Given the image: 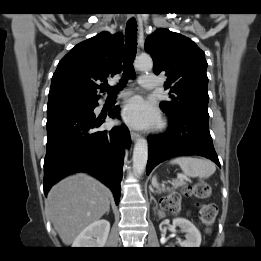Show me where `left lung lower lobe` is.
<instances>
[{
    "mask_svg": "<svg viewBox=\"0 0 261 261\" xmlns=\"http://www.w3.org/2000/svg\"><path fill=\"white\" fill-rule=\"evenodd\" d=\"M169 116L166 133L148 136L147 174L159 163L183 155H200L220 166L209 132V118L190 111Z\"/></svg>",
    "mask_w": 261,
    "mask_h": 261,
    "instance_id": "1",
    "label": "left lung lower lobe"
}]
</instances>
